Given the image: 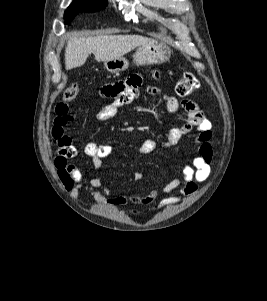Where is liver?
I'll list each match as a JSON object with an SVG mask.
<instances>
[{
    "instance_id": "6515ba94",
    "label": "liver",
    "mask_w": 267,
    "mask_h": 301,
    "mask_svg": "<svg viewBox=\"0 0 267 301\" xmlns=\"http://www.w3.org/2000/svg\"><path fill=\"white\" fill-rule=\"evenodd\" d=\"M152 41L140 35H104L88 38H71L65 50L67 70L82 66L90 54L96 61L106 62L121 58L134 48Z\"/></svg>"
}]
</instances>
